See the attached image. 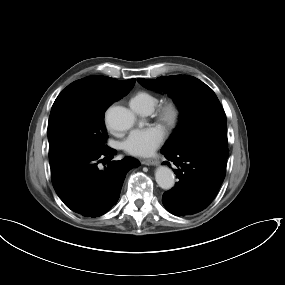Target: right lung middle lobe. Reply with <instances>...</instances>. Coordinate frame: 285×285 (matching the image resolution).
I'll use <instances>...</instances> for the list:
<instances>
[{
	"label": "right lung middle lobe",
	"mask_w": 285,
	"mask_h": 285,
	"mask_svg": "<svg viewBox=\"0 0 285 285\" xmlns=\"http://www.w3.org/2000/svg\"><path fill=\"white\" fill-rule=\"evenodd\" d=\"M123 97L86 77L68 85L56 98L49 117L50 166L76 154L105 150V111Z\"/></svg>",
	"instance_id": "obj_1"
}]
</instances>
